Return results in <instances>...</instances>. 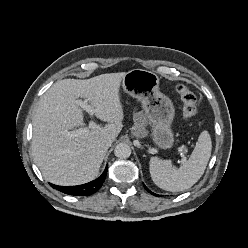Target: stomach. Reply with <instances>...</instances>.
<instances>
[{"label": "stomach", "instance_id": "1", "mask_svg": "<svg viewBox=\"0 0 248 248\" xmlns=\"http://www.w3.org/2000/svg\"><path fill=\"white\" fill-rule=\"evenodd\" d=\"M122 87L141 102L144 117L152 124L154 143L161 149H170L175 141L171 129L175 109L171 99L160 92L158 76L148 70L133 69L124 76Z\"/></svg>", "mask_w": 248, "mask_h": 248}]
</instances>
